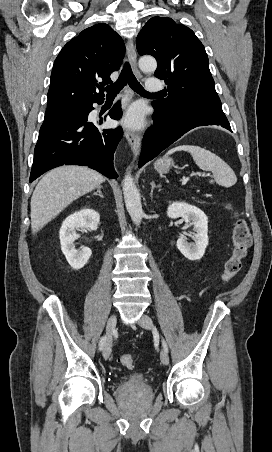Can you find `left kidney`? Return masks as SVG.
<instances>
[{"mask_svg":"<svg viewBox=\"0 0 272 452\" xmlns=\"http://www.w3.org/2000/svg\"><path fill=\"white\" fill-rule=\"evenodd\" d=\"M167 216L172 219L182 217L186 224L193 226L194 243H188L186 237L177 240V248L189 260H200L208 245V217L194 205L186 202H173L167 208Z\"/></svg>","mask_w":272,"mask_h":452,"instance_id":"5707ae66","label":"left kidney"}]
</instances>
